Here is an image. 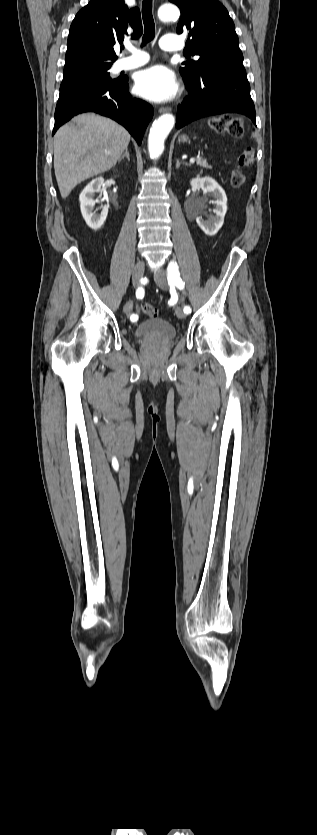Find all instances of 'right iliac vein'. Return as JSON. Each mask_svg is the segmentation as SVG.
I'll return each mask as SVG.
<instances>
[{"label": "right iliac vein", "instance_id": "1", "mask_svg": "<svg viewBox=\"0 0 317 835\" xmlns=\"http://www.w3.org/2000/svg\"><path fill=\"white\" fill-rule=\"evenodd\" d=\"M144 269H145L144 261H138L136 263L134 269H133V275H132V281H133L134 286H136V287L139 286L140 280H141V278L143 277V274H144ZM127 304H125V306L123 308V311L126 315H129V313L132 309V306L130 305L129 307H127Z\"/></svg>", "mask_w": 317, "mask_h": 835}]
</instances>
